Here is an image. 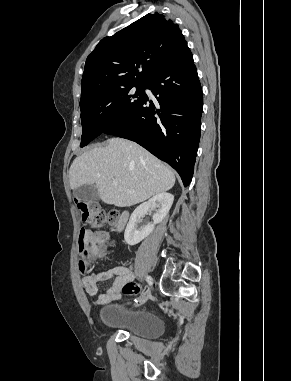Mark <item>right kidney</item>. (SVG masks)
Instances as JSON below:
<instances>
[{
    "instance_id": "obj_1",
    "label": "right kidney",
    "mask_w": 291,
    "mask_h": 381,
    "mask_svg": "<svg viewBox=\"0 0 291 381\" xmlns=\"http://www.w3.org/2000/svg\"><path fill=\"white\" fill-rule=\"evenodd\" d=\"M174 201L170 193H159L147 202L139 205L132 213L124 233V239L128 245H136L146 238L154 229L155 225L162 222L168 214ZM156 209L153 215V223L140 226L141 218L150 210Z\"/></svg>"
}]
</instances>
